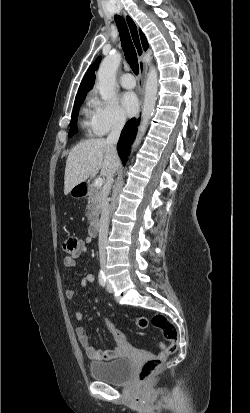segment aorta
Returning a JSON list of instances; mask_svg holds the SVG:
<instances>
[{"label": "aorta", "mask_w": 250, "mask_h": 413, "mask_svg": "<svg viewBox=\"0 0 250 413\" xmlns=\"http://www.w3.org/2000/svg\"><path fill=\"white\" fill-rule=\"evenodd\" d=\"M121 54L112 53L106 56L101 62L97 73V87L103 100H109L115 91L116 71L121 63ZM158 74L154 66L149 69L145 85L144 104L142 109L141 124L138 130L137 138L133 144L135 149L148 127L149 121L153 114L157 99Z\"/></svg>", "instance_id": "aorta-1"}]
</instances>
